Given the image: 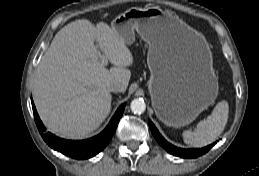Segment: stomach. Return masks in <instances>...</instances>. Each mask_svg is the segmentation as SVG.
Instances as JSON below:
<instances>
[{"label": "stomach", "instance_id": "0dacf381", "mask_svg": "<svg viewBox=\"0 0 259 176\" xmlns=\"http://www.w3.org/2000/svg\"><path fill=\"white\" fill-rule=\"evenodd\" d=\"M111 28L133 43L135 31L148 44V89L156 116L164 124H190L218 94L210 52L183 21L157 7H133L119 14Z\"/></svg>", "mask_w": 259, "mask_h": 176}]
</instances>
